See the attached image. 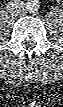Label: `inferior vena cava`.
I'll return each instance as SVG.
<instances>
[{
	"mask_svg": "<svg viewBox=\"0 0 63 107\" xmlns=\"http://www.w3.org/2000/svg\"><path fill=\"white\" fill-rule=\"evenodd\" d=\"M6 9L12 15H19L25 11V6L20 1H10L7 3Z\"/></svg>",
	"mask_w": 63,
	"mask_h": 107,
	"instance_id": "602c4592",
	"label": "inferior vena cava"
}]
</instances>
